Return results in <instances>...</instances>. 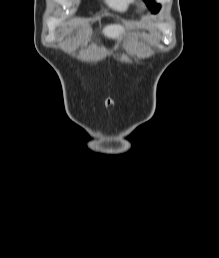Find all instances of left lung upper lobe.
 <instances>
[{
  "label": "left lung upper lobe",
  "instance_id": "5c2ea615",
  "mask_svg": "<svg viewBox=\"0 0 219 258\" xmlns=\"http://www.w3.org/2000/svg\"><path fill=\"white\" fill-rule=\"evenodd\" d=\"M147 4V6L149 7V9H151L152 13H157L160 10V5L154 3V0H144Z\"/></svg>",
  "mask_w": 219,
  "mask_h": 258
}]
</instances>
